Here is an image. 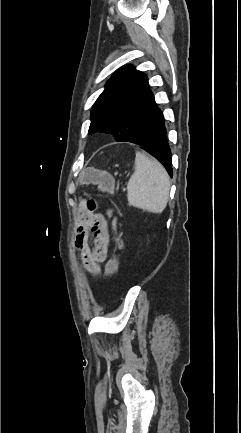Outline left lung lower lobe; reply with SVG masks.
Returning a JSON list of instances; mask_svg holds the SVG:
<instances>
[{
    "label": "left lung lower lobe",
    "instance_id": "0a47b994",
    "mask_svg": "<svg viewBox=\"0 0 241 433\" xmlns=\"http://www.w3.org/2000/svg\"><path fill=\"white\" fill-rule=\"evenodd\" d=\"M141 146L144 150L161 162L172 176L171 150L168 144L164 117L162 112L142 132L127 140Z\"/></svg>",
    "mask_w": 241,
    "mask_h": 433
}]
</instances>
